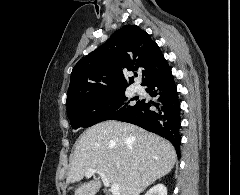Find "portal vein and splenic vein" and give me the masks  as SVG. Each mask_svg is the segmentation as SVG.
I'll return each instance as SVG.
<instances>
[{
    "instance_id": "portal-vein-and-splenic-vein-1",
    "label": "portal vein and splenic vein",
    "mask_w": 240,
    "mask_h": 195,
    "mask_svg": "<svg viewBox=\"0 0 240 195\" xmlns=\"http://www.w3.org/2000/svg\"><path fill=\"white\" fill-rule=\"evenodd\" d=\"M94 173H100V169H88V171H85V177H91V175H94ZM102 175V173H100ZM102 181L106 187H110L112 195H120V187L118 183H110V181H107V179H104L102 177Z\"/></svg>"
}]
</instances>
